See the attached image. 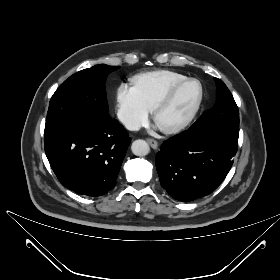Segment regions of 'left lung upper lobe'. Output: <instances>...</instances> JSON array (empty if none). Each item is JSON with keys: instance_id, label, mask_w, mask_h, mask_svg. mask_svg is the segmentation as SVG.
Instances as JSON below:
<instances>
[{"instance_id": "1", "label": "left lung upper lobe", "mask_w": 280, "mask_h": 280, "mask_svg": "<svg viewBox=\"0 0 280 280\" xmlns=\"http://www.w3.org/2000/svg\"><path fill=\"white\" fill-rule=\"evenodd\" d=\"M217 101L212 110H208L192 125L191 129L204 128L219 132L238 142L239 110L227 86L218 78Z\"/></svg>"}]
</instances>
